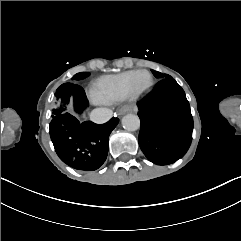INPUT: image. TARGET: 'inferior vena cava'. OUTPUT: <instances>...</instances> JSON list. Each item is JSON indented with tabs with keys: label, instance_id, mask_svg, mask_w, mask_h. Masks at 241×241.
I'll use <instances>...</instances> for the list:
<instances>
[{
	"label": "inferior vena cava",
	"instance_id": "602c4592",
	"mask_svg": "<svg viewBox=\"0 0 241 241\" xmlns=\"http://www.w3.org/2000/svg\"><path fill=\"white\" fill-rule=\"evenodd\" d=\"M113 116V111L108 108H96L90 113V120L97 124L109 121Z\"/></svg>",
	"mask_w": 241,
	"mask_h": 241
}]
</instances>
